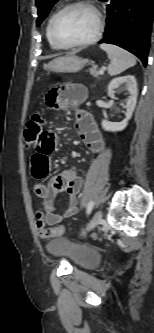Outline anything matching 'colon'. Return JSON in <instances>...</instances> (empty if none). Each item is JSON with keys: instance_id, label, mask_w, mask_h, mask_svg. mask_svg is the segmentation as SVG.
<instances>
[{"instance_id": "colon-1", "label": "colon", "mask_w": 154, "mask_h": 333, "mask_svg": "<svg viewBox=\"0 0 154 333\" xmlns=\"http://www.w3.org/2000/svg\"><path fill=\"white\" fill-rule=\"evenodd\" d=\"M44 126V118L42 114L35 113L31 116L28 120L25 129H24V139L27 146H33L34 142L40 131L43 129ZM37 226L40 230V235L45 238H54L58 237L63 234L64 228L62 226L55 227V228H44V221L41 212H37Z\"/></svg>"}]
</instances>
